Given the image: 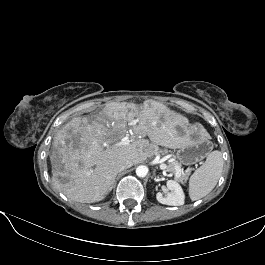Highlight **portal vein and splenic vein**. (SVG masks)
<instances>
[{
	"instance_id": "obj_1",
	"label": "portal vein and splenic vein",
	"mask_w": 265,
	"mask_h": 265,
	"mask_svg": "<svg viewBox=\"0 0 265 265\" xmlns=\"http://www.w3.org/2000/svg\"><path fill=\"white\" fill-rule=\"evenodd\" d=\"M130 142H131L130 137H129V136H125V137H123V138L120 140V142L117 144V146H128V145H130ZM167 167H168V165H166V164H164V163H162V164L160 165V169H161V170H166ZM180 176H181V170L178 168V169H177V172H176V174H175V177H180Z\"/></svg>"
}]
</instances>
